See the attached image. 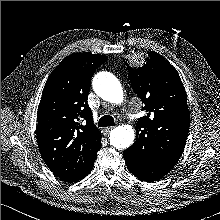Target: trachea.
<instances>
[{
	"mask_svg": "<svg viewBox=\"0 0 220 220\" xmlns=\"http://www.w3.org/2000/svg\"><path fill=\"white\" fill-rule=\"evenodd\" d=\"M115 120L111 115H104L99 119L100 127L114 126Z\"/></svg>",
	"mask_w": 220,
	"mask_h": 220,
	"instance_id": "trachea-1",
	"label": "trachea"
}]
</instances>
